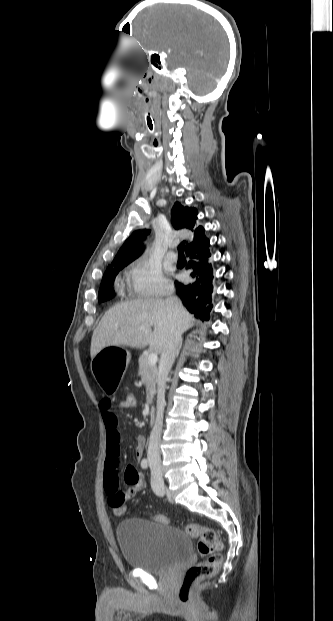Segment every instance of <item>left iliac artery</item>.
<instances>
[{"label":"left iliac artery","instance_id":"left-iliac-artery-1","mask_svg":"<svg viewBox=\"0 0 333 621\" xmlns=\"http://www.w3.org/2000/svg\"><path fill=\"white\" fill-rule=\"evenodd\" d=\"M151 486L153 488V490L155 491L157 489V484L154 481H151Z\"/></svg>","mask_w":333,"mask_h":621}]
</instances>
